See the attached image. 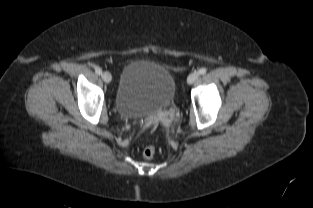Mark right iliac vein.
<instances>
[{"label": "right iliac vein", "instance_id": "63e3f726", "mask_svg": "<svg viewBox=\"0 0 313 208\" xmlns=\"http://www.w3.org/2000/svg\"><path fill=\"white\" fill-rule=\"evenodd\" d=\"M101 77L103 79V81L105 83H110L111 80H112V76L111 74L108 72V71H104L102 74H101Z\"/></svg>", "mask_w": 313, "mask_h": 208}]
</instances>
